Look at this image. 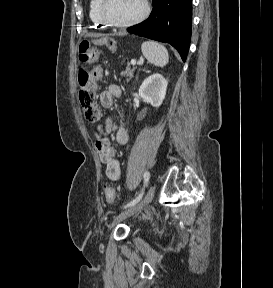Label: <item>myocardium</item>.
<instances>
[{
    "label": "myocardium",
    "instance_id": "1",
    "mask_svg": "<svg viewBox=\"0 0 273 288\" xmlns=\"http://www.w3.org/2000/svg\"><path fill=\"white\" fill-rule=\"evenodd\" d=\"M106 3H107V0H100L99 8H98L99 16H100L101 20L107 26L115 27V28H127V27L134 26V25L142 22L148 16L149 11H150V5H149L148 0H143V10L137 17H135L131 20H128V21L117 22V21L111 20L106 15V12H105Z\"/></svg>",
    "mask_w": 273,
    "mask_h": 288
}]
</instances>
